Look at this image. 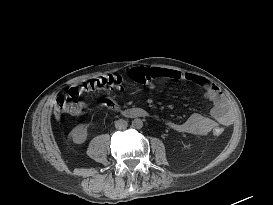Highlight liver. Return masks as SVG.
Here are the masks:
<instances>
[{"label":"liver","instance_id":"obj_1","mask_svg":"<svg viewBox=\"0 0 273 205\" xmlns=\"http://www.w3.org/2000/svg\"><path fill=\"white\" fill-rule=\"evenodd\" d=\"M55 115H56V118L59 119V116L57 114H55Z\"/></svg>","mask_w":273,"mask_h":205}]
</instances>
